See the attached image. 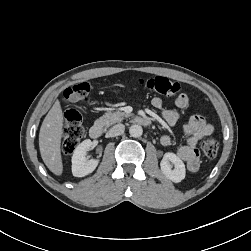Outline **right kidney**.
<instances>
[{"label": "right kidney", "instance_id": "obj_1", "mask_svg": "<svg viewBox=\"0 0 251 251\" xmlns=\"http://www.w3.org/2000/svg\"><path fill=\"white\" fill-rule=\"evenodd\" d=\"M92 147L90 139L84 140L75 149L72 156V174L75 177H84L92 173L99 164V160L86 159V153Z\"/></svg>", "mask_w": 251, "mask_h": 251}]
</instances>
